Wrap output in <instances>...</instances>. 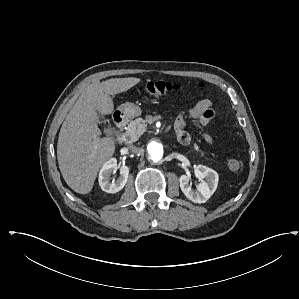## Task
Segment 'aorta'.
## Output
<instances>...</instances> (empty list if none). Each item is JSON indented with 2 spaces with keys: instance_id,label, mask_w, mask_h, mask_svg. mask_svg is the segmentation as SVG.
I'll return each mask as SVG.
<instances>
[{
  "instance_id": "762f6f07",
  "label": "aorta",
  "mask_w": 299,
  "mask_h": 299,
  "mask_svg": "<svg viewBox=\"0 0 299 299\" xmlns=\"http://www.w3.org/2000/svg\"><path fill=\"white\" fill-rule=\"evenodd\" d=\"M146 153L151 162L158 163L164 157L165 148L159 140L153 139L147 143Z\"/></svg>"
}]
</instances>
